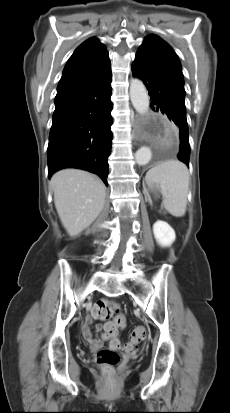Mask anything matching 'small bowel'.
I'll list each match as a JSON object with an SVG mask.
<instances>
[{
    "instance_id": "obj_1",
    "label": "small bowel",
    "mask_w": 230,
    "mask_h": 413,
    "mask_svg": "<svg viewBox=\"0 0 230 413\" xmlns=\"http://www.w3.org/2000/svg\"><path fill=\"white\" fill-rule=\"evenodd\" d=\"M92 316L94 317L93 313ZM91 323H92V318L88 317L85 320V323L83 324L82 332L84 337L94 346H98L101 341H107L110 339L109 337V331L113 329L116 333L118 334V331L122 329L125 324H126V319L123 315H119L115 320L108 321L104 323L103 325H97L96 329L97 331L100 332V339H97L93 336V333L91 331Z\"/></svg>"
}]
</instances>
